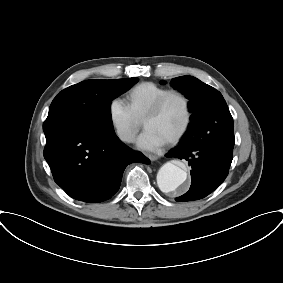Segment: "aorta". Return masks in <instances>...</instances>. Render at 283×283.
<instances>
[{
	"mask_svg": "<svg viewBox=\"0 0 283 283\" xmlns=\"http://www.w3.org/2000/svg\"><path fill=\"white\" fill-rule=\"evenodd\" d=\"M186 168L167 162L162 165L157 173V184L164 193L178 192L187 180Z\"/></svg>",
	"mask_w": 283,
	"mask_h": 283,
	"instance_id": "1",
	"label": "aorta"
}]
</instances>
